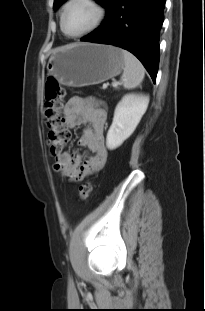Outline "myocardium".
<instances>
[{
	"mask_svg": "<svg viewBox=\"0 0 205 311\" xmlns=\"http://www.w3.org/2000/svg\"><path fill=\"white\" fill-rule=\"evenodd\" d=\"M74 2H85L87 4H89L90 6H92L95 11H96V18L94 20V22L92 23V25L90 27H88L86 30L78 33V34H69L64 26V22H65V16H66V12L69 8V6L74 3ZM106 16V10L104 8V6L100 3V1L98 0H67L66 3L64 4L63 8H62V12H61V18H60V27L62 32L69 38H80L83 37L91 32H93L94 30H96L104 21Z\"/></svg>",
	"mask_w": 205,
	"mask_h": 311,
	"instance_id": "myocardium-1",
	"label": "myocardium"
}]
</instances>
